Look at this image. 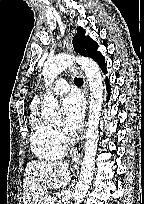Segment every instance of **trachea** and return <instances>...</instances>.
Returning <instances> with one entry per match:
<instances>
[{
    "mask_svg": "<svg viewBox=\"0 0 144 204\" xmlns=\"http://www.w3.org/2000/svg\"><path fill=\"white\" fill-rule=\"evenodd\" d=\"M74 82L76 83V84H82L83 83V80L81 79V78H74Z\"/></svg>",
    "mask_w": 144,
    "mask_h": 204,
    "instance_id": "trachea-1",
    "label": "trachea"
}]
</instances>
